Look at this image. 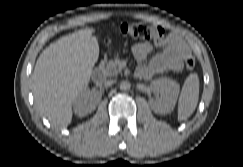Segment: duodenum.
<instances>
[{
	"label": "duodenum",
	"mask_w": 243,
	"mask_h": 167,
	"mask_svg": "<svg viewBox=\"0 0 243 167\" xmlns=\"http://www.w3.org/2000/svg\"><path fill=\"white\" fill-rule=\"evenodd\" d=\"M92 80L96 83H102L104 80V73L101 67H96L92 72Z\"/></svg>",
	"instance_id": "duodenum-1"
}]
</instances>
